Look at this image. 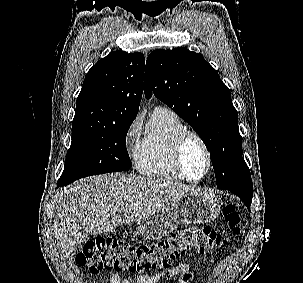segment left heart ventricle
I'll return each mask as SVG.
<instances>
[{
  "instance_id": "1",
  "label": "left heart ventricle",
  "mask_w": 303,
  "mask_h": 283,
  "mask_svg": "<svg viewBox=\"0 0 303 283\" xmlns=\"http://www.w3.org/2000/svg\"><path fill=\"white\" fill-rule=\"evenodd\" d=\"M183 159L187 172L192 178H200L205 173L206 156L197 140L191 138L186 142Z\"/></svg>"
}]
</instances>
